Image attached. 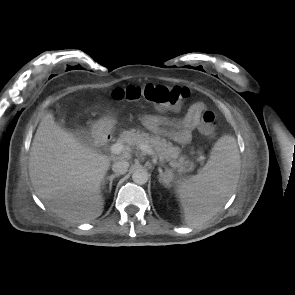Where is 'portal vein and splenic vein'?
<instances>
[{"label": "portal vein and splenic vein", "mask_w": 295, "mask_h": 295, "mask_svg": "<svg viewBox=\"0 0 295 295\" xmlns=\"http://www.w3.org/2000/svg\"><path fill=\"white\" fill-rule=\"evenodd\" d=\"M139 147L142 151L148 153L149 155L155 154L153 149L148 145L141 144ZM110 150L113 154H119L124 151V145L122 143H115L111 146Z\"/></svg>", "instance_id": "18ae733b"}]
</instances>
